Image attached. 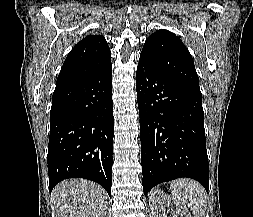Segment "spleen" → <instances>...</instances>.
<instances>
[{
	"label": "spleen",
	"instance_id": "obj_1",
	"mask_svg": "<svg viewBox=\"0 0 253 217\" xmlns=\"http://www.w3.org/2000/svg\"><path fill=\"white\" fill-rule=\"evenodd\" d=\"M173 199L181 205H187L194 217H205L207 197L203 186L195 180L181 178L170 184Z\"/></svg>",
	"mask_w": 253,
	"mask_h": 217
}]
</instances>
